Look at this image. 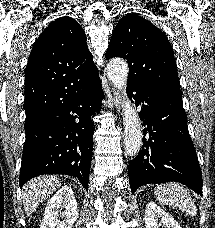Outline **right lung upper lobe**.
I'll return each instance as SVG.
<instances>
[{"mask_svg": "<svg viewBox=\"0 0 215 228\" xmlns=\"http://www.w3.org/2000/svg\"><path fill=\"white\" fill-rule=\"evenodd\" d=\"M86 41L81 26L69 16L41 33L25 71V124L61 106L72 88L98 73Z\"/></svg>", "mask_w": 215, "mask_h": 228, "instance_id": "cb5924a9", "label": "right lung upper lobe"}]
</instances>
